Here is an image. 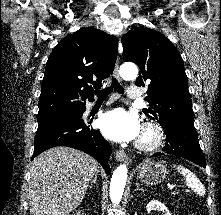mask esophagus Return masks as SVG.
Listing matches in <instances>:
<instances>
[{"label":"esophagus","mask_w":221,"mask_h":215,"mask_svg":"<svg viewBox=\"0 0 221 215\" xmlns=\"http://www.w3.org/2000/svg\"><path fill=\"white\" fill-rule=\"evenodd\" d=\"M114 74L118 80H121V77L119 74V62L118 61L115 63ZM115 156H116V159L120 162H130L131 161L124 150L116 151Z\"/></svg>","instance_id":"obj_1"}]
</instances>
